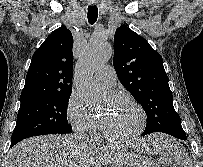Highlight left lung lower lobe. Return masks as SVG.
Returning a JSON list of instances; mask_svg holds the SVG:
<instances>
[{
	"label": "left lung lower lobe",
	"mask_w": 203,
	"mask_h": 167,
	"mask_svg": "<svg viewBox=\"0 0 203 167\" xmlns=\"http://www.w3.org/2000/svg\"><path fill=\"white\" fill-rule=\"evenodd\" d=\"M142 135H145V134H142ZM172 136L181 140H186V136L184 134H173Z\"/></svg>",
	"instance_id": "1"
}]
</instances>
